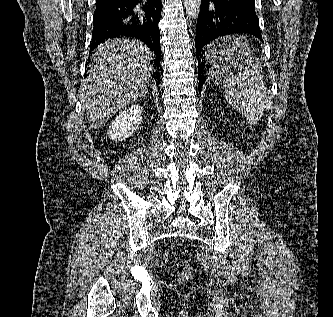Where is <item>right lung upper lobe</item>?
I'll return each instance as SVG.
<instances>
[{
    "mask_svg": "<svg viewBox=\"0 0 333 317\" xmlns=\"http://www.w3.org/2000/svg\"><path fill=\"white\" fill-rule=\"evenodd\" d=\"M109 1H113V0H96V3L109 2Z\"/></svg>",
    "mask_w": 333,
    "mask_h": 317,
    "instance_id": "obj_1",
    "label": "right lung upper lobe"
}]
</instances>
